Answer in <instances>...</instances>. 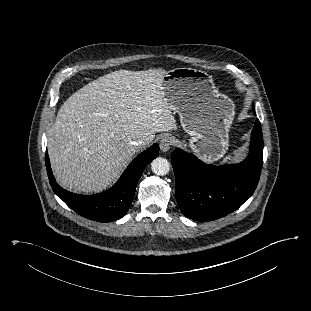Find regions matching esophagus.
Listing matches in <instances>:
<instances>
[{
	"label": "esophagus",
	"instance_id": "obj_1",
	"mask_svg": "<svg viewBox=\"0 0 311 311\" xmlns=\"http://www.w3.org/2000/svg\"><path fill=\"white\" fill-rule=\"evenodd\" d=\"M174 138L171 136H165L160 142V148L163 152H167L174 144Z\"/></svg>",
	"mask_w": 311,
	"mask_h": 311
}]
</instances>
